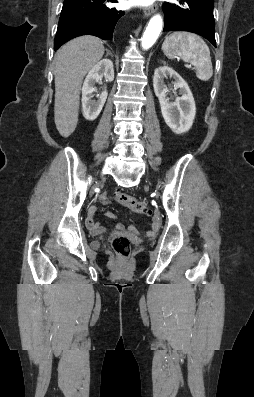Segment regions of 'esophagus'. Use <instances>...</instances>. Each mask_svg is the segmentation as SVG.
Returning a JSON list of instances; mask_svg holds the SVG:
<instances>
[{
  "label": "esophagus",
  "instance_id": "obj_1",
  "mask_svg": "<svg viewBox=\"0 0 254 397\" xmlns=\"http://www.w3.org/2000/svg\"><path fill=\"white\" fill-rule=\"evenodd\" d=\"M155 12V7H148L146 9H144V15L145 16H150Z\"/></svg>",
  "mask_w": 254,
  "mask_h": 397
}]
</instances>
